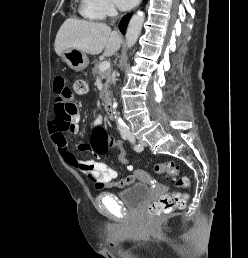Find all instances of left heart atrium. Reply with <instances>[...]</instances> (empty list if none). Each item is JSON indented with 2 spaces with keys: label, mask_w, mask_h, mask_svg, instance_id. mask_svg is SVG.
<instances>
[{
  "label": "left heart atrium",
  "mask_w": 248,
  "mask_h": 258,
  "mask_svg": "<svg viewBox=\"0 0 248 258\" xmlns=\"http://www.w3.org/2000/svg\"><path fill=\"white\" fill-rule=\"evenodd\" d=\"M138 1L139 0H115V3L120 9L127 10L135 6Z\"/></svg>",
  "instance_id": "left-heart-atrium-1"
}]
</instances>
